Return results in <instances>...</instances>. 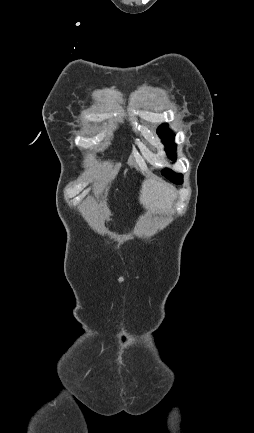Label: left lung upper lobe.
<instances>
[{"mask_svg": "<svg viewBox=\"0 0 254 433\" xmlns=\"http://www.w3.org/2000/svg\"><path fill=\"white\" fill-rule=\"evenodd\" d=\"M157 133L160 136V138L162 139L163 143L166 145L165 150L167 152V155L169 156V158L171 160H175L176 145L173 143L174 134L171 133V131H169L168 125L162 124L158 128ZM162 174L167 179H169L170 181H172L176 184H181L183 182V176L181 174H177V173L173 172L172 170L164 169L162 171Z\"/></svg>", "mask_w": 254, "mask_h": 433, "instance_id": "5c2ea615", "label": "left lung upper lobe"}]
</instances>
